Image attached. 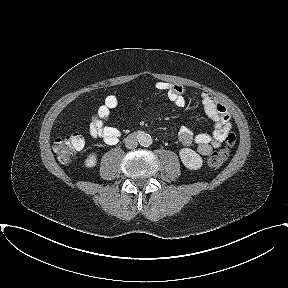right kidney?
Returning a JSON list of instances; mask_svg holds the SVG:
<instances>
[{"label": "right kidney", "mask_w": 288, "mask_h": 288, "mask_svg": "<svg viewBox=\"0 0 288 288\" xmlns=\"http://www.w3.org/2000/svg\"><path fill=\"white\" fill-rule=\"evenodd\" d=\"M97 163V155L95 153L90 154L85 160L86 167H94Z\"/></svg>", "instance_id": "right-kidney-1"}]
</instances>
